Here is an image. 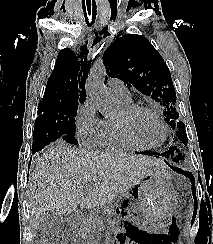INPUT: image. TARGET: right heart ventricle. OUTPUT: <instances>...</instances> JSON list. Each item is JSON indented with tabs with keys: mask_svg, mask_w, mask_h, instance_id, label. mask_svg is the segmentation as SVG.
<instances>
[{
	"mask_svg": "<svg viewBox=\"0 0 213 244\" xmlns=\"http://www.w3.org/2000/svg\"><path fill=\"white\" fill-rule=\"evenodd\" d=\"M121 103L123 107L130 106L133 104L132 100L121 101ZM97 145L107 150L120 151V152L137 151L141 149L138 146H135L134 144H131L130 142L126 141L121 136V134L117 129L114 119L104 120Z\"/></svg>",
	"mask_w": 213,
	"mask_h": 244,
	"instance_id": "right-heart-ventricle-1",
	"label": "right heart ventricle"
}]
</instances>
